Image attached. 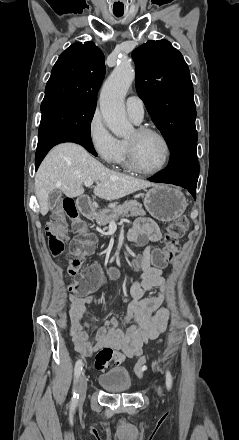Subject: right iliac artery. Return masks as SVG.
<instances>
[{
  "instance_id": "82829eb1",
  "label": "right iliac artery",
  "mask_w": 239,
  "mask_h": 440,
  "mask_svg": "<svg viewBox=\"0 0 239 440\" xmlns=\"http://www.w3.org/2000/svg\"><path fill=\"white\" fill-rule=\"evenodd\" d=\"M82 368H83V362L82 360H78L75 364V369H74V387H73V397L71 400V408H75L78 403L79 394L77 393V382L80 377Z\"/></svg>"
}]
</instances>
